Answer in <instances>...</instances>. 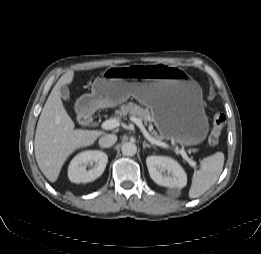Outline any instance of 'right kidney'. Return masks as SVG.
Returning a JSON list of instances; mask_svg holds the SVG:
<instances>
[{"mask_svg":"<svg viewBox=\"0 0 261 254\" xmlns=\"http://www.w3.org/2000/svg\"><path fill=\"white\" fill-rule=\"evenodd\" d=\"M106 153L97 150H88L76 155L70 162L68 168L69 180L73 183H87L100 177L107 165ZM94 166L86 170L88 164Z\"/></svg>","mask_w":261,"mask_h":254,"instance_id":"obj_1","label":"right kidney"}]
</instances>
